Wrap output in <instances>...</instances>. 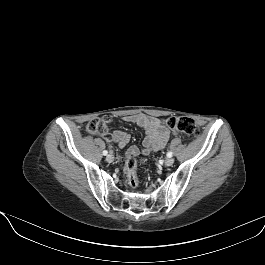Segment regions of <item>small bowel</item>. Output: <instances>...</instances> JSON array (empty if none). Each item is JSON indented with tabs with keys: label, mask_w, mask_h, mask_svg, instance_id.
Returning <instances> with one entry per match:
<instances>
[{
	"label": "small bowel",
	"mask_w": 265,
	"mask_h": 265,
	"mask_svg": "<svg viewBox=\"0 0 265 265\" xmlns=\"http://www.w3.org/2000/svg\"><path fill=\"white\" fill-rule=\"evenodd\" d=\"M122 120L125 123L138 125L146 133L142 148L134 145L127 148L126 156L128 157L147 156L152 152L159 151L166 146L171 134L177 135V132H171L167 129L162 124L161 119L142 113L124 116ZM102 135L108 140L115 142L120 148H125L130 141L129 134L123 130H115Z\"/></svg>",
	"instance_id": "1"
}]
</instances>
